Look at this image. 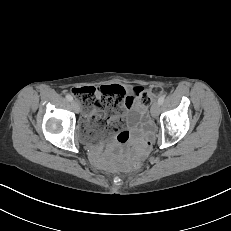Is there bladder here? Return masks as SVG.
Listing matches in <instances>:
<instances>
[{"label":"bladder","mask_w":231,"mask_h":231,"mask_svg":"<svg viewBox=\"0 0 231 231\" xmlns=\"http://www.w3.org/2000/svg\"><path fill=\"white\" fill-rule=\"evenodd\" d=\"M127 106L131 112L137 115L145 113V106L141 100L140 89L138 87H133L129 90ZM101 131L104 134L105 131ZM97 132L98 129L89 123L80 125L76 129L78 139L85 145L95 143L99 139Z\"/></svg>","instance_id":"1"}]
</instances>
